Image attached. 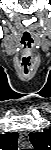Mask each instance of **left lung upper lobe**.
<instances>
[{
  "instance_id": "obj_1",
  "label": "left lung upper lobe",
  "mask_w": 51,
  "mask_h": 150,
  "mask_svg": "<svg viewBox=\"0 0 51 150\" xmlns=\"http://www.w3.org/2000/svg\"><path fill=\"white\" fill-rule=\"evenodd\" d=\"M29 137L36 150H46L51 146V128L44 132L30 133Z\"/></svg>"
}]
</instances>
